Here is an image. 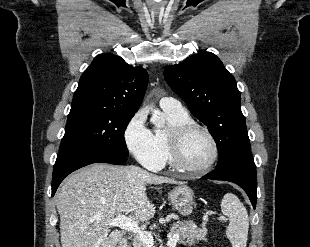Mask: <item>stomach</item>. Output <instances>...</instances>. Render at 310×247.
<instances>
[{"instance_id":"1","label":"stomach","mask_w":310,"mask_h":247,"mask_svg":"<svg viewBox=\"0 0 310 247\" xmlns=\"http://www.w3.org/2000/svg\"><path fill=\"white\" fill-rule=\"evenodd\" d=\"M194 192L188 186H179L168 193V199L175 210L179 214L186 216L193 210Z\"/></svg>"}]
</instances>
